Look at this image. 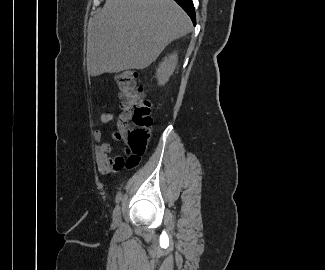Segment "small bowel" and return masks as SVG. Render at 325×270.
<instances>
[{"label":"small bowel","instance_id":"c3829d8e","mask_svg":"<svg viewBox=\"0 0 325 270\" xmlns=\"http://www.w3.org/2000/svg\"><path fill=\"white\" fill-rule=\"evenodd\" d=\"M113 118H114L113 112H105L101 115V121L105 124L110 123L113 120ZM93 138L96 142V146H95L96 165L100 174L104 175L112 171H119L124 167L133 168L128 166L127 159H125L123 156L121 155L111 156L114 150L113 144L103 141L102 132L100 129L94 130Z\"/></svg>","mask_w":325,"mask_h":270}]
</instances>
